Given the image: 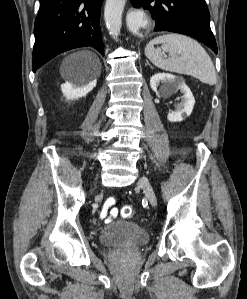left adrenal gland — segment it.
Instances as JSON below:
<instances>
[{"mask_svg":"<svg viewBox=\"0 0 247 299\" xmlns=\"http://www.w3.org/2000/svg\"><path fill=\"white\" fill-rule=\"evenodd\" d=\"M145 65H149L151 68H153V67L149 64L148 60H146V64H145Z\"/></svg>","mask_w":247,"mask_h":299,"instance_id":"obj_1","label":"left adrenal gland"}]
</instances>
